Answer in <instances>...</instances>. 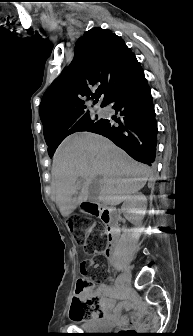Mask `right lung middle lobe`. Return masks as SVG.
Segmentation results:
<instances>
[{
  "mask_svg": "<svg viewBox=\"0 0 193 336\" xmlns=\"http://www.w3.org/2000/svg\"><path fill=\"white\" fill-rule=\"evenodd\" d=\"M105 119H100V120H92L87 114L86 116L82 117L79 119L67 132L63 134H59L56 136H53L49 140L46 141L48 145V154L50 157L53 156L56 148L58 145L67 137L68 135L77 132V131H89V132H95L103 125L105 124Z\"/></svg>",
  "mask_w": 193,
  "mask_h": 336,
  "instance_id": "obj_1",
  "label": "right lung middle lobe"
}]
</instances>
